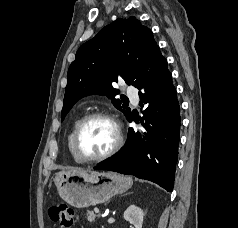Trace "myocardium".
I'll return each mask as SVG.
<instances>
[{
  "label": "myocardium",
  "mask_w": 238,
  "mask_h": 228,
  "mask_svg": "<svg viewBox=\"0 0 238 228\" xmlns=\"http://www.w3.org/2000/svg\"><path fill=\"white\" fill-rule=\"evenodd\" d=\"M94 119H105L112 123L116 134L115 143L107 152H105L100 156L89 158L83 157L79 152V138L85 126ZM122 144H123V135L118 121L112 114L105 111H95L84 116L78 123L73 136V152L75 157L82 163H93L103 161L113 156L116 152H118Z\"/></svg>",
  "instance_id": "obj_1"
}]
</instances>
